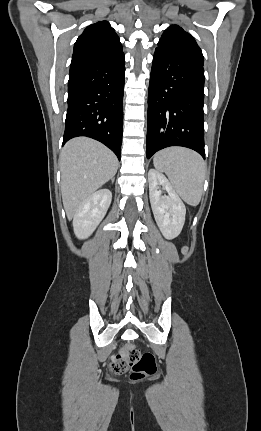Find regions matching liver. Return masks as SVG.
I'll return each instance as SVG.
<instances>
[{"label": "liver", "instance_id": "liver-1", "mask_svg": "<svg viewBox=\"0 0 261 431\" xmlns=\"http://www.w3.org/2000/svg\"><path fill=\"white\" fill-rule=\"evenodd\" d=\"M60 169L63 205L72 219L85 200L116 174L118 160L100 142L77 137L63 147Z\"/></svg>", "mask_w": 261, "mask_h": 431}]
</instances>
